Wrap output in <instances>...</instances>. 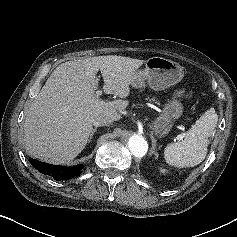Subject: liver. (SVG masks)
I'll use <instances>...</instances> for the list:
<instances>
[{"label": "liver", "instance_id": "1", "mask_svg": "<svg viewBox=\"0 0 237 237\" xmlns=\"http://www.w3.org/2000/svg\"><path fill=\"white\" fill-rule=\"evenodd\" d=\"M144 60L117 55L88 57L60 64L32 102L24 122L26 150L35 158L61 164L85 148L93 120L121 119L131 80ZM101 72L103 91L121 100L104 101L95 95Z\"/></svg>", "mask_w": 237, "mask_h": 237}]
</instances>
